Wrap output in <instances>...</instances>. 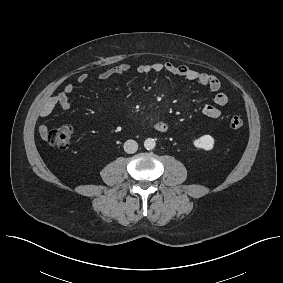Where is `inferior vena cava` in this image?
Wrapping results in <instances>:
<instances>
[{"instance_id":"1","label":"inferior vena cava","mask_w":283,"mask_h":283,"mask_svg":"<svg viewBox=\"0 0 283 283\" xmlns=\"http://www.w3.org/2000/svg\"><path fill=\"white\" fill-rule=\"evenodd\" d=\"M138 149V144L134 140H127L124 143V151L128 154H133L137 151Z\"/></svg>"}]
</instances>
